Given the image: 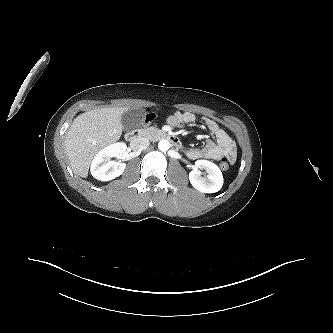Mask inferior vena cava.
Returning a JSON list of instances; mask_svg holds the SVG:
<instances>
[{
    "label": "inferior vena cava",
    "mask_w": 333,
    "mask_h": 333,
    "mask_svg": "<svg viewBox=\"0 0 333 333\" xmlns=\"http://www.w3.org/2000/svg\"><path fill=\"white\" fill-rule=\"evenodd\" d=\"M150 145V142L146 138H136L131 141V148L133 150H144Z\"/></svg>",
    "instance_id": "1"
}]
</instances>
